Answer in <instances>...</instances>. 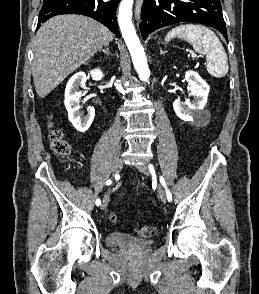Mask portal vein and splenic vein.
I'll return each mask as SVG.
<instances>
[{
	"mask_svg": "<svg viewBox=\"0 0 259 294\" xmlns=\"http://www.w3.org/2000/svg\"><path fill=\"white\" fill-rule=\"evenodd\" d=\"M192 57L195 58L196 57V54H192Z\"/></svg>",
	"mask_w": 259,
	"mask_h": 294,
	"instance_id": "1",
	"label": "portal vein and splenic vein"
}]
</instances>
